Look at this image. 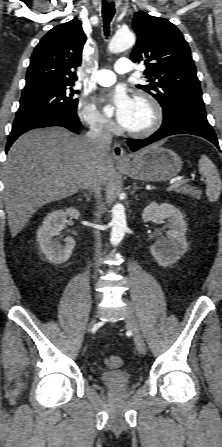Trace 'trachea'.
<instances>
[{
  "label": "trachea",
  "mask_w": 222,
  "mask_h": 447,
  "mask_svg": "<svg viewBox=\"0 0 222 447\" xmlns=\"http://www.w3.org/2000/svg\"><path fill=\"white\" fill-rule=\"evenodd\" d=\"M115 14V7H114V3H107V2H103L102 4V17H103V23H104V32L105 35L108 36L109 35V24L113 18Z\"/></svg>",
  "instance_id": "trachea-1"
}]
</instances>
